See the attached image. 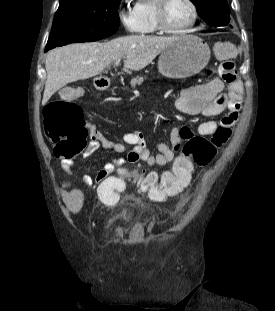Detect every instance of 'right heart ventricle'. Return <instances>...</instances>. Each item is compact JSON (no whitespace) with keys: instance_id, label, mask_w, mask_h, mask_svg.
Wrapping results in <instances>:
<instances>
[{"instance_id":"right-heart-ventricle-1","label":"right heart ventricle","mask_w":275,"mask_h":311,"mask_svg":"<svg viewBox=\"0 0 275 311\" xmlns=\"http://www.w3.org/2000/svg\"><path fill=\"white\" fill-rule=\"evenodd\" d=\"M156 0H137L133 11L140 20L139 33L142 35H152L158 32L155 18Z\"/></svg>"}]
</instances>
